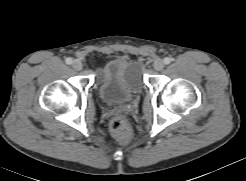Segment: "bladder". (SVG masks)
I'll list each match as a JSON object with an SVG mask.
<instances>
[{
  "label": "bladder",
  "mask_w": 246,
  "mask_h": 181,
  "mask_svg": "<svg viewBox=\"0 0 246 181\" xmlns=\"http://www.w3.org/2000/svg\"><path fill=\"white\" fill-rule=\"evenodd\" d=\"M96 80L104 102L121 103L141 89V68L129 60L114 59L101 66L96 74Z\"/></svg>",
  "instance_id": "1"
}]
</instances>
